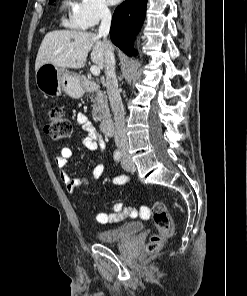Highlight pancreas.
Instances as JSON below:
<instances>
[{
    "label": "pancreas",
    "mask_w": 247,
    "mask_h": 296,
    "mask_svg": "<svg viewBox=\"0 0 247 296\" xmlns=\"http://www.w3.org/2000/svg\"><path fill=\"white\" fill-rule=\"evenodd\" d=\"M91 101L93 102L92 117L95 122H101L110 116L107 97L104 92L97 90L92 93Z\"/></svg>",
    "instance_id": "obj_1"
}]
</instances>
